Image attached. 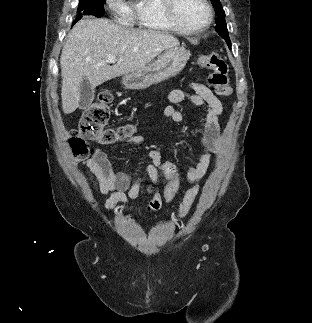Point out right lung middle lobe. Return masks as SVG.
<instances>
[{
	"label": "right lung middle lobe",
	"instance_id": "right-lung-middle-lobe-1",
	"mask_svg": "<svg viewBox=\"0 0 312 323\" xmlns=\"http://www.w3.org/2000/svg\"><path fill=\"white\" fill-rule=\"evenodd\" d=\"M105 0H79V6L77 9V16L73 22V25L83 16V15H93L98 18L102 17L105 13L103 2Z\"/></svg>",
	"mask_w": 312,
	"mask_h": 323
}]
</instances>
